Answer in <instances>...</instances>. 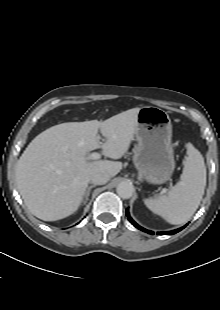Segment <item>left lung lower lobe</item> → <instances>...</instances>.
I'll return each mask as SVG.
<instances>
[{
    "label": "left lung lower lobe",
    "instance_id": "1",
    "mask_svg": "<svg viewBox=\"0 0 220 310\" xmlns=\"http://www.w3.org/2000/svg\"><path fill=\"white\" fill-rule=\"evenodd\" d=\"M126 215L128 216V220H129L136 228H138V229H140V230H142V231H144V232H146V233H149V234H152V235L154 234L153 231L146 230V229H144L143 227L139 226V225L130 217L128 209L126 210ZM185 226H186V225H185ZM185 226H183V227H181V228H179V229H176V230H172V231L160 232L159 234H161V235H172V234H175V233L181 231L182 229H184Z\"/></svg>",
    "mask_w": 220,
    "mask_h": 310
}]
</instances>
